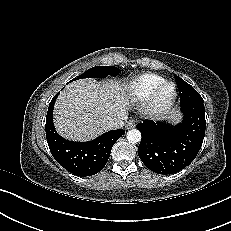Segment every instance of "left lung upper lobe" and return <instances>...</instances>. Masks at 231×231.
I'll return each instance as SVG.
<instances>
[{
	"label": "left lung upper lobe",
	"instance_id": "left-lung-upper-lobe-1",
	"mask_svg": "<svg viewBox=\"0 0 231 231\" xmlns=\"http://www.w3.org/2000/svg\"><path fill=\"white\" fill-rule=\"evenodd\" d=\"M174 78L179 88L181 102H192L196 100L204 102L200 94L191 85L178 76Z\"/></svg>",
	"mask_w": 231,
	"mask_h": 231
}]
</instances>
